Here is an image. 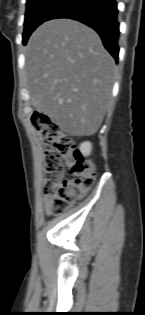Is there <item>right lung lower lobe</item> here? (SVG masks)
I'll return each instance as SVG.
<instances>
[{"instance_id": "1", "label": "right lung lower lobe", "mask_w": 145, "mask_h": 315, "mask_svg": "<svg viewBox=\"0 0 145 315\" xmlns=\"http://www.w3.org/2000/svg\"><path fill=\"white\" fill-rule=\"evenodd\" d=\"M115 0H65L47 19L69 18L93 28L105 48L118 60L119 22Z\"/></svg>"}]
</instances>
